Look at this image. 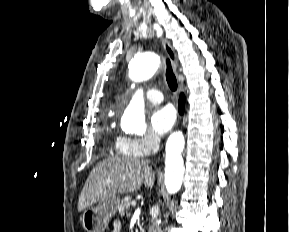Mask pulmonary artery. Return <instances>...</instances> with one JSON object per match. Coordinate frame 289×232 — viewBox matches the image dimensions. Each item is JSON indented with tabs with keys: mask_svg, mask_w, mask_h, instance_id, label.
Segmentation results:
<instances>
[{
	"mask_svg": "<svg viewBox=\"0 0 289 232\" xmlns=\"http://www.w3.org/2000/svg\"><path fill=\"white\" fill-rule=\"evenodd\" d=\"M146 98L154 103H159L163 100V95L160 91L155 89H150L146 92Z\"/></svg>",
	"mask_w": 289,
	"mask_h": 232,
	"instance_id": "1",
	"label": "pulmonary artery"
}]
</instances>
